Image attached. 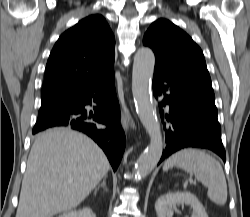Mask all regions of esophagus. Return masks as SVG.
<instances>
[{
    "label": "esophagus",
    "instance_id": "1",
    "mask_svg": "<svg viewBox=\"0 0 250 217\" xmlns=\"http://www.w3.org/2000/svg\"><path fill=\"white\" fill-rule=\"evenodd\" d=\"M121 123L123 128L127 131L129 129V118L124 112L121 113Z\"/></svg>",
    "mask_w": 250,
    "mask_h": 217
}]
</instances>
